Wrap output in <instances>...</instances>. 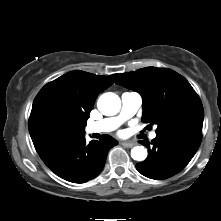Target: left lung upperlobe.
Instances as JSON below:
<instances>
[{"label": "left lung upper lobe", "instance_id": "left-lung-upper-lobe-1", "mask_svg": "<svg viewBox=\"0 0 221 221\" xmlns=\"http://www.w3.org/2000/svg\"><path fill=\"white\" fill-rule=\"evenodd\" d=\"M116 84L133 89L143 98L142 121L157 125L156 134L178 128L202 130L204 111L189 82L168 68L147 67L122 73Z\"/></svg>", "mask_w": 221, "mask_h": 221}]
</instances>
